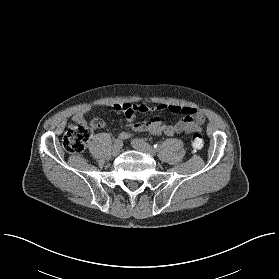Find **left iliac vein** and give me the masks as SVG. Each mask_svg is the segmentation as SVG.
<instances>
[{"label":"left iliac vein","instance_id":"4c4485c4","mask_svg":"<svg viewBox=\"0 0 279 279\" xmlns=\"http://www.w3.org/2000/svg\"><path fill=\"white\" fill-rule=\"evenodd\" d=\"M132 146L136 150L146 152L150 156L156 155V151L154 150V148L151 145H149L148 143L144 142V140H142V139H139V138L133 139Z\"/></svg>","mask_w":279,"mask_h":279}]
</instances>
